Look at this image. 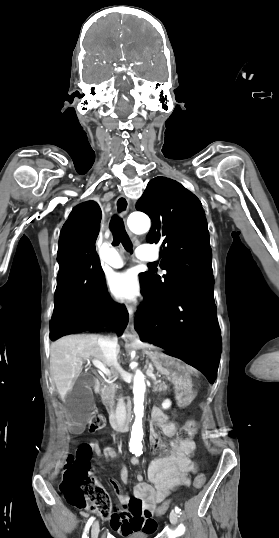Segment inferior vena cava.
<instances>
[{"mask_svg":"<svg viewBox=\"0 0 279 538\" xmlns=\"http://www.w3.org/2000/svg\"><path fill=\"white\" fill-rule=\"evenodd\" d=\"M117 342H118V338H117V335H100V338L98 340V345H100L104 355L106 358H107V361H111V360H114V364L115 365H118L117 364V360H116V347H117ZM113 363H108L107 365L111 366V365H114ZM121 372H124V371H121ZM120 403L118 404L119 407H117V410H116V415L114 416L115 419L117 420L116 423L118 424V426H121L123 425V423H125V420H126V410H125V406L123 405V401L122 399H120ZM117 426V425H116ZM121 432H124V431H128L127 429H124V430H120Z\"/></svg>","mask_w":279,"mask_h":538,"instance_id":"602c4592","label":"inferior vena cava"}]
</instances>
